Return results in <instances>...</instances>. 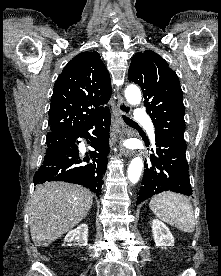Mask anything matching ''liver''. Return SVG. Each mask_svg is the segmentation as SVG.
Masks as SVG:
<instances>
[{"mask_svg": "<svg viewBox=\"0 0 221 276\" xmlns=\"http://www.w3.org/2000/svg\"><path fill=\"white\" fill-rule=\"evenodd\" d=\"M93 203L92 193L79 185L49 182L38 186L29 201L31 238L47 246L78 225Z\"/></svg>", "mask_w": 221, "mask_h": 276, "instance_id": "6515ba94", "label": "liver"}]
</instances>
